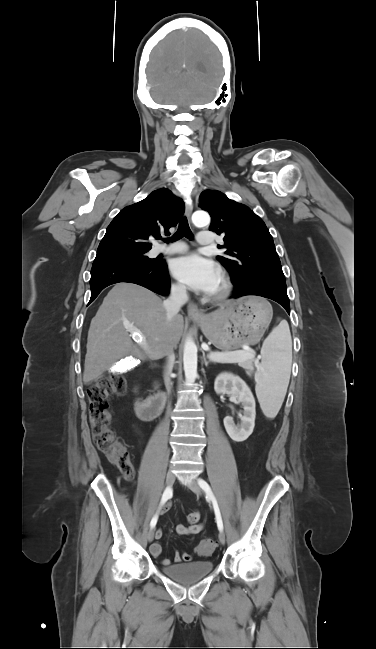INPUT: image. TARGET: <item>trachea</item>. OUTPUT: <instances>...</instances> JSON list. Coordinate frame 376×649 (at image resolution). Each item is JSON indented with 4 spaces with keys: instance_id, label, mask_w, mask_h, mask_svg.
<instances>
[{
    "instance_id": "trachea-1",
    "label": "trachea",
    "mask_w": 376,
    "mask_h": 649,
    "mask_svg": "<svg viewBox=\"0 0 376 649\" xmlns=\"http://www.w3.org/2000/svg\"><path fill=\"white\" fill-rule=\"evenodd\" d=\"M182 237H186L188 239H193V235H192V232L190 230L188 220L185 217L180 220L177 232L169 240L170 241H176V240L181 239ZM166 242H168V241L166 240Z\"/></svg>"
}]
</instances>
